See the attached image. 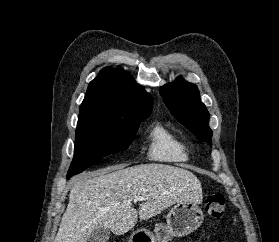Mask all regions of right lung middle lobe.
Masks as SVG:
<instances>
[{
	"label": "right lung middle lobe",
	"mask_w": 279,
	"mask_h": 242,
	"mask_svg": "<svg viewBox=\"0 0 279 242\" xmlns=\"http://www.w3.org/2000/svg\"><path fill=\"white\" fill-rule=\"evenodd\" d=\"M139 127L137 123H121L108 119L79 117L74 158L67 179L81 173L102 157L126 150Z\"/></svg>",
	"instance_id": "obj_1"
}]
</instances>
